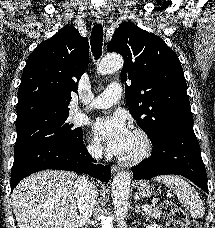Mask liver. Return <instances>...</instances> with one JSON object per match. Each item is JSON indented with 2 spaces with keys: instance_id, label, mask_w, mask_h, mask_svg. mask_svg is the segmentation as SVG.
Segmentation results:
<instances>
[{
  "instance_id": "1",
  "label": "liver",
  "mask_w": 215,
  "mask_h": 228,
  "mask_svg": "<svg viewBox=\"0 0 215 228\" xmlns=\"http://www.w3.org/2000/svg\"><path fill=\"white\" fill-rule=\"evenodd\" d=\"M77 174L44 170L24 178L12 192L19 228H79L74 188Z\"/></svg>"
}]
</instances>
